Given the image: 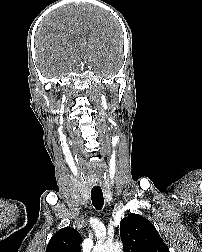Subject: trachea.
Instances as JSON below:
<instances>
[{"instance_id":"1","label":"trachea","mask_w":202,"mask_h":252,"mask_svg":"<svg viewBox=\"0 0 202 252\" xmlns=\"http://www.w3.org/2000/svg\"><path fill=\"white\" fill-rule=\"evenodd\" d=\"M92 204L97 210H101L104 205V198L102 189L100 187H93L91 190Z\"/></svg>"}]
</instances>
